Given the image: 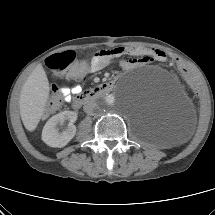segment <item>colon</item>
<instances>
[{"mask_svg":"<svg viewBox=\"0 0 215 215\" xmlns=\"http://www.w3.org/2000/svg\"><path fill=\"white\" fill-rule=\"evenodd\" d=\"M167 56L171 57L174 66L179 70L180 75L188 80L191 88V93L197 92V82L192 76L190 70L187 71L185 65L181 62L178 53H174L173 50L167 51ZM46 66L54 73H61L62 79L66 83H71L80 75L84 74L87 68L90 67L91 62L88 58L83 57L80 61H76V54L73 51H65L62 53L49 56L46 61ZM193 77V78H192ZM62 100L57 92V88L53 87V95L48 103L47 111L53 112L61 106Z\"/></svg>","mask_w":215,"mask_h":215,"instance_id":"5ec220e1","label":"colon"}]
</instances>
